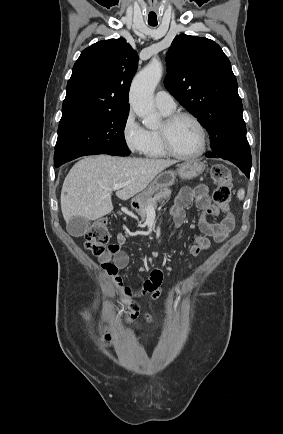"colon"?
<instances>
[{
    "instance_id": "5ec220e1",
    "label": "colon",
    "mask_w": 283,
    "mask_h": 434,
    "mask_svg": "<svg viewBox=\"0 0 283 434\" xmlns=\"http://www.w3.org/2000/svg\"><path fill=\"white\" fill-rule=\"evenodd\" d=\"M211 178L216 184L213 192V201L222 211L229 213V204L232 197L231 172L223 164H215L211 168ZM110 233L106 219L96 221L85 234L86 247L97 256L106 253Z\"/></svg>"
}]
</instances>
